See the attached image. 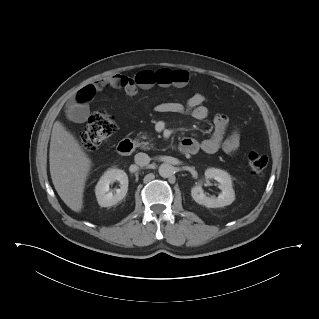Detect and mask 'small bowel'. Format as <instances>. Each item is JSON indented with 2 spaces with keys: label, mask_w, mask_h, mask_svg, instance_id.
Masks as SVG:
<instances>
[{
  "label": "small bowel",
  "mask_w": 319,
  "mask_h": 319,
  "mask_svg": "<svg viewBox=\"0 0 319 319\" xmlns=\"http://www.w3.org/2000/svg\"><path fill=\"white\" fill-rule=\"evenodd\" d=\"M188 72L183 69L170 70L159 69L157 71L145 70L140 72L135 78L125 75H111L94 84L84 86L77 94L76 102L71 106V118L74 121L82 122L89 115V108L86 101L92 99L94 95L105 89H122L129 96H135L138 87L149 89L158 84L162 87L183 86L188 82ZM159 113L190 114L196 120H205L210 111L205 105V96L201 93L191 95L186 103L166 102L156 106ZM214 131L210 138L197 141L194 138H185L182 142H187L190 154H195L202 150L208 154H213L218 150H223L228 154H235L240 146V134L237 130L227 133L229 119L225 114L217 113L213 118Z\"/></svg>",
  "instance_id": "1"
}]
</instances>
